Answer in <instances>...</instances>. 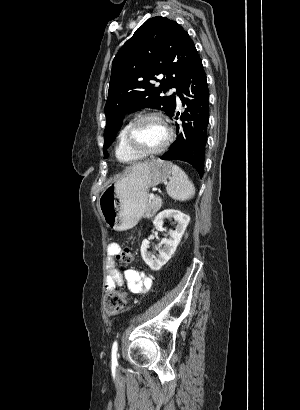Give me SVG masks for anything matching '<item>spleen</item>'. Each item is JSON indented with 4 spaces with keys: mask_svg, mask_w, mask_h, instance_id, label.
Instances as JSON below:
<instances>
[{
    "mask_svg": "<svg viewBox=\"0 0 300 410\" xmlns=\"http://www.w3.org/2000/svg\"><path fill=\"white\" fill-rule=\"evenodd\" d=\"M166 191L174 200L186 201L194 196L195 187L180 167L172 165V177L166 185Z\"/></svg>",
    "mask_w": 300,
    "mask_h": 410,
    "instance_id": "1",
    "label": "spleen"
}]
</instances>
